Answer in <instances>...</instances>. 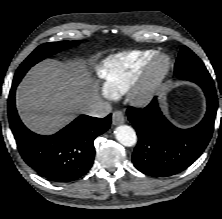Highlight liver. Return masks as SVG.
I'll return each instance as SVG.
<instances>
[{
    "instance_id": "liver-1",
    "label": "liver",
    "mask_w": 222,
    "mask_h": 219,
    "mask_svg": "<svg viewBox=\"0 0 222 219\" xmlns=\"http://www.w3.org/2000/svg\"><path fill=\"white\" fill-rule=\"evenodd\" d=\"M101 101L84 61L50 60L33 67L16 92V106L32 131L50 135Z\"/></svg>"
}]
</instances>
